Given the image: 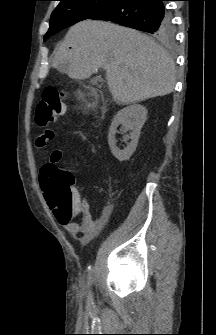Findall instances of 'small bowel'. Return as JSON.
<instances>
[{"label":"small bowel","instance_id":"small-bowel-1","mask_svg":"<svg viewBox=\"0 0 216 335\" xmlns=\"http://www.w3.org/2000/svg\"><path fill=\"white\" fill-rule=\"evenodd\" d=\"M73 135L77 137L81 142L87 144L91 152H95L94 147L89 142L88 138L78 130L73 131ZM55 137L53 132H48L46 135H41L37 137L35 143L38 148L45 147L46 144ZM61 160V152L54 151L46 164L41 168L39 175L40 188L43 191V194L46 200L49 203L50 208L53 210V213L56 217L58 223L69 233L74 235H80L81 242L87 244L105 225L106 219L102 216L97 219H93L89 204L85 196L78 190L73 191V197L75 200V205L72 213L66 219H63V207L58 206L52 197L50 196V187L48 186L50 180L53 177L52 169L57 167V164ZM49 166L48 171H44L45 166ZM81 217V223L75 220L76 217Z\"/></svg>","mask_w":216,"mask_h":335}]
</instances>
